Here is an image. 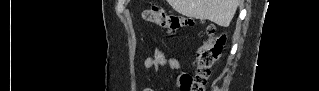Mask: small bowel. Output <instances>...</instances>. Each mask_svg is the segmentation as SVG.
<instances>
[{"label":"small bowel","mask_w":319,"mask_h":91,"mask_svg":"<svg viewBox=\"0 0 319 91\" xmlns=\"http://www.w3.org/2000/svg\"><path fill=\"white\" fill-rule=\"evenodd\" d=\"M168 67L172 70H178L181 67L179 59L172 54L167 53L161 49H156L154 56L145 60V67L153 69L158 67Z\"/></svg>","instance_id":"c3829d8e"}]
</instances>
